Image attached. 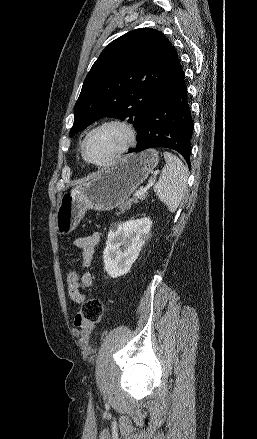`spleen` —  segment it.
<instances>
[{
    "instance_id": "spleen-1",
    "label": "spleen",
    "mask_w": 257,
    "mask_h": 439,
    "mask_svg": "<svg viewBox=\"0 0 257 439\" xmlns=\"http://www.w3.org/2000/svg\"><path fill=\"white\" fill-rule=\"evenodd\" d=\"M166 165L159 181L154 185L156 196L173 213L177 210L187 188L188 171L182 161L167 151L164 152Z\"/></svg>"
}]
</instances>
